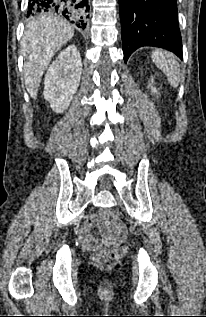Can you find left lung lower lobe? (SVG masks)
Wrapping results in <instances>:
<instances>
[{"label": "left lung lower lobe", "instance_id": "left-lung-lower-lobe-1", "mask_svg": "<svg viewBox=\"0 0 206 317\" xmlns=\"http://www.w3.org/2000/svg\"><path fill=\"white\" fill-rule=\"evenodd\" d=\"M124 60L138 48L167 49L182 59L176 0H119Z\"/></svg>", "mask_w": 206, "mask_h": 317}]
</instances>
